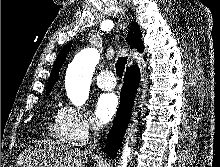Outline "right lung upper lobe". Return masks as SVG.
<instances>
[{
	"label": "right lung upper lobe",
	"instance_id": "1",
	"mask_svg": "<svg viewBox=\"0 0 220 167\" xmlns=\"http://www.w3.org/2000/svg\"><path fill=\"white\" fill-rule=\"evenodd\" d=\"M127 42L130 48H137L138 52L140 53L143 52L144 46L141 42V30L136 22H132L130 32L127 35ZM70 48H71V44L68 43L59 52L56 62L54 63V66L52 68L51 76L47 85V89H46L47 94L52 90L54 84L56 83L59 70L62 64L64 63L66 54L69 52Z\"/></svg>",
	"mask_w": 220,
	"mask_h": 167
}]
</instances>
